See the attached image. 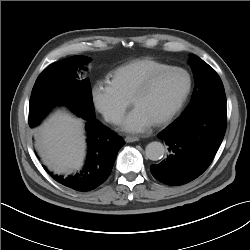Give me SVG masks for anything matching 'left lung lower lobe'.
<instances>
[{"label":"left lung lower lobe","instance_id":"0a47b994","mask_svg":"<svg viewBox=\"0 0 250 250\" xmlns=\"http://www.w3.org/2000/svg\"><path fill=\"white\" fill-rule=\"evenodd\" d=\"M226 130V95L203 101L158 134L168 145L167 158L150 167L160 182L178 186L200 176L213 161Z\"/></svg>","mask_w":250,"mask_h":250}]
</instances>
